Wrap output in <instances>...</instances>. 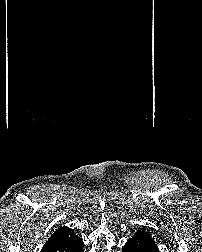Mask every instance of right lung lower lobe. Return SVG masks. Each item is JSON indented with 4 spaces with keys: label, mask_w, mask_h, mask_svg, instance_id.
<instances>
[{
    "label": "right lung lower lobe",
    "mask_w": 202,
    "mask_h": 252,
    "mask_svg": "<svg viewBox=\"0 0 202 252\" xmlns=\"http://www.w3.org/2000/svg\"><path fill=\"white\" fill-rule=\"evenodd\" d=\"M83 245L84 243L82 242L74 252H84Z\"/></svg>",
    "instance_id": "98d812e1"
}]
</instances>
